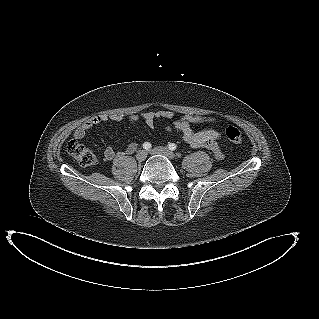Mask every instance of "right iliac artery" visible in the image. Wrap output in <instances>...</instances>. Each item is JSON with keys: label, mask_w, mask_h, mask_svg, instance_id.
<instances>
[{"label": "right iliac artery", "mask_w": 319, "mask_h": 319, "mask_svg": "<svg viewBox=\"0 0 319 319\" xmlns=\"http://www.w3.org/2000/svg\"><path fill=\"white\" fill-rule=\"evenodd\" d=\"M143 148L146 150H149L151 148V143H149V142L143 143Z\"/></svg>", "instance_id": "82829eb1"}]
</instances>
